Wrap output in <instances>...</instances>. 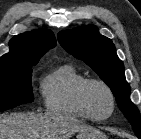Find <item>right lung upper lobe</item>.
<instances>
[{
	"label": "right lung upper lobe",
	"instance_id": "right-lung-upper-lobe-1",
	"mask_svg": "<svg viewBox=\"0 0 141 139\" xmlns=\"http://www.w3.org/2000/svg\"><path fill=\"white\" fill-rule=\"evenodd\" d=\"M9 45V52L0 58V68L36 65L56 40L50 30L39 29L14 36Z\"/></svg>",
	"mask_w": 141,
	"mask_h": 139
}]
</instances>
